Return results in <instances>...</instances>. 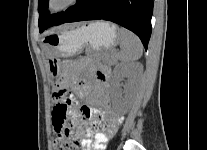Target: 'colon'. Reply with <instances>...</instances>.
I'll list each match as a JSON object with an SVG mask.
<instances>
[{
  "label": "colon",
  "mask_w": 207,
  "mask_h": 150,
  "mask_svg": "<svg viewBox=\"0 0 207 150\" xmlns=\"http://www.w3.org/2000/svg\"><path fill=\"white\" fill-rule=\"evenodd\" d=\"M54 106L52 117V131L56 132L53 138L54 150H79L80 132H72L70 129L71 112L73 107V96L71 87H58L54 93Z\"/></svg>",
  "instance_id": "5ec220e1"
}]
</instances>
